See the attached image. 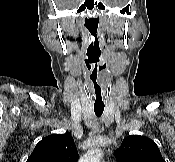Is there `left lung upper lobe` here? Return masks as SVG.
Wrapping results in <instances>:
<instances>
[{"label":"left lung upper lobe","mask_w":175,"mask_h":162,"mask_svg":"<svg viewBox=\"0 0 175 162\" xmlns=\"http://www.w3.org/2000/svg\"><path fill=\"white\" fill-rule=\"evenodd\" d=\"M114 155L118 162H165L154 141L140 135L126 137Z\"/></svg>","instance_id":"1"}]
</instances>
